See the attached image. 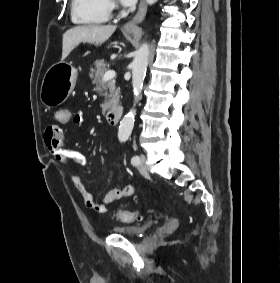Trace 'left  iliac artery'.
<instances>
[{"label":"left iliac artery","instance_id":"1","mask_svg":"<svg viewBox=\"0 0 280 283\" xmlns=\"http://www.w3.org/2000/svg\"><path fill=\"white\" fill-rule=\"evenodd\" d=\"M131 163L136 166L138 165L139 163V157L138 156H134L132 159H131Z\"/></svg>","mask_w":280,"mask_h":283}]
</instances>
